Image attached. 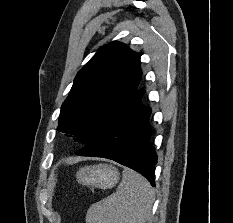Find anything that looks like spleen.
<instances>
[{
    "label": "spleen",
    "instance_id": "3e777b00",
    "mask_svg": "<svg viewBox=\"0 0 233 223\" xmlns=\"http://www.w3.org/2000/svg\"><path fill=\"white\" fill-rule=\"evenodd\" d=\"M154 201L153 189L140 173L124 171L116 191L92 203L86 223H146Z\"/></svg>",
    "mask_w": 233,
    "mask_h": 223
}]
</instances>
